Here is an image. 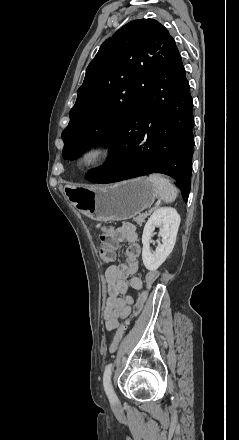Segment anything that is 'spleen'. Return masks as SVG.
<instances>
[{
  "instance_id": "obj_1",
  "label": "spleen",
  "mask_w": 239,
  "mask_h": 440,
  "mask_svg": "<svg viewBox=\"0 0 239 440\" xmlns=\"http://www.w3.org/2000/svg\"><path fill=\"white\" fill-rule=\"evenodd\" d=\"M150 182L156 188V194L160 200L164 202H175L179 190L170 184V180H166L162 174H150Z\"/></svg>"
}]
</instances>
